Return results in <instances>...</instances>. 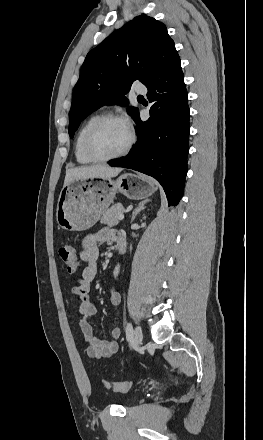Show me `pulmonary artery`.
Returning a JSON list of instances; mask_svg holds the SVG:
<instances>
[{"mask_svg": "<svg viewBox=\"0 0 263 440\" xmlns=\"http://www.w3.org/2000/svg\"><path fill=\"white\" fill-rule=\"evenodd\" d=\"M135 92L138 94H145L147 92V89L145 87L137 86L135 88Z\"/></svg>", "mask_w": 263, "mask_h": 440, "instance_id": "obj_1", "label": "pulmonary artery"}]
</instances>
